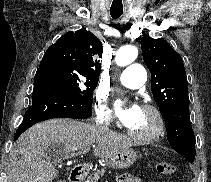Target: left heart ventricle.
<instances>
[{
	"label": "left heart ventricle",
	"mask_w": 211,
	"mask_h": 182,
	"mask_svg": "<svg viewBox=\"0 0 211 182\" xmlns=\"http://www.w3.org/2000/svg\"><path fill=\"white\" fill-rule=\"evenodd\" d=\"M156 127V118L148 110L141 109L136 121L129 126V129L140 135L150 134Z\"/></svg>",
	"instance_id": "b2bd125f"
}]
</instances>
